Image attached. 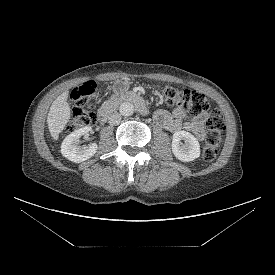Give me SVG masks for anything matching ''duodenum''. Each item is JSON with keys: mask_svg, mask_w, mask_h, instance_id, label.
Here are the masks:
<instances>
[{"mask_svg": "<svg viewBox=\"0 0 275 275\" xmlns=\"http://www.w3.org/2000/svg\"><path fill=\"white\" fill-rule=\"evenodd\" d=\"M129 102L137 107L142 114H147V106L144 99L137 93L127 92L121 94L118 98L108 101L98 113V121L105 123L109 117L115 112L120 103Z\"/></svg>", "mask_w": 275, "mask_h": 275, "instance_id": "obj_1", "label": "duodenum"}]
</instances>
